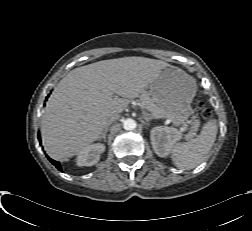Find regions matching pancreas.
Here are the masks:
<instances>
[{"mask_svg": "<svg viewBox=\"0 0 252 231\" xmlns=\"http://www.w3.org/2000/svg\"><path fill=\"white\" fill-rule=\"evenodd\" d=\"M140 101H141V104L147 108V110L152 114L154 118H159L160 110L155 104L153 98L148 93L143 92L140 95ZM198 125H199V122L196 121L195 126L191 130V134H194V132L198 129Z\"/></svg>", "mask_w": 252, "mask_h": 231, "instance_id": "cf45deb5", "label": "pancreas"}]
</instances>
